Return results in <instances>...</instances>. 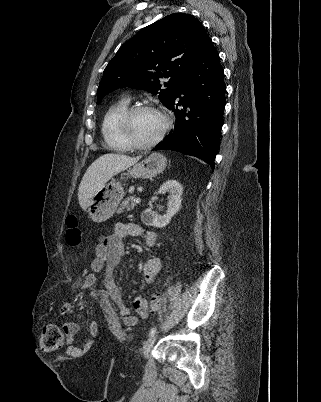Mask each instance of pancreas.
<instances>
[{
    "label": "pancreas",
    "instance_id": "cf45deb5",
    "mask_svg": "<svg viewBox=\"0 0 321 402\" xmlns=\"http://www.w3.org/2000/svg\"><path fill=\"white\" fill-rule=\"evenodd\" d=\"M135 206H136V203L134 202L133 197H128L120 205V208L118 209V213H123L125 210L130 211Z\"/></svg>",
    "mask_w": 321,
    "mask_h": 402
}]
</instances>
